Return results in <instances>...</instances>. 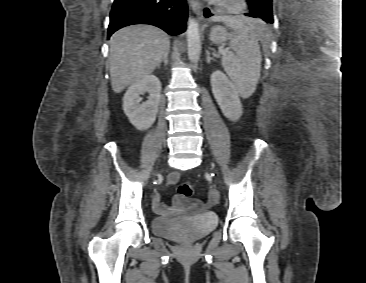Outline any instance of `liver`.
I'll list each match as a JSON object with an SVG mask.
<instances>
[{
	"instance_id": "6515ba94",
	"label": "liver",
	"mask_w": 366,
	"mask_h": 283,
	"mask_svg": "<svg viewBox=\"0 0 366 283\" xmlns=\"http://www.w3.org/2000/svg\"><path fill=\"white\" fill-rule=\"evenodd\" d=\"M169 48V36L153 25L138 24L116 31L110 39L112 90L120 93L151 74Z\"/></svg>"
}]
</instances>
